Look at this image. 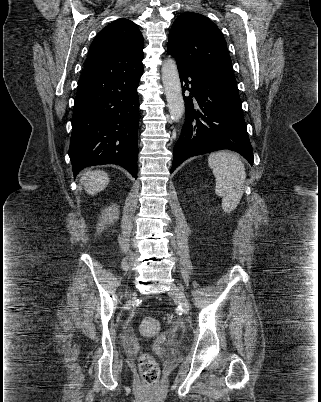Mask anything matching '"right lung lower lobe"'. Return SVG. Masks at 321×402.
<instances>
[{
  "label": "right lung lower lobe",
  "mask_w": 321,
  "mask_h": 402,
  "mask_svg": "<svg viewBox=\"0 0 321 402\" xmlns=\"http://www.w3.org/2000/svg\"><path fill=\"white\" fill-rule=\"evenodd\" d=\"M142 73L79 80L69 148L74 176L88 166L117 164L137 178V87Z\"/></svg>",
  "instance_id": "obj_1"
}]
</instances>
